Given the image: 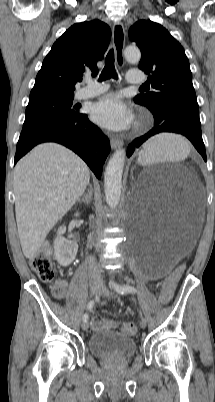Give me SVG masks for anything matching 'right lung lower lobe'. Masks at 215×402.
Masks as SVG:
<instances>
[{
    "instance_id": "right-lung-lower-lobe-1",
    "label": "right lung lower lobe",
    "mask_w": 215,
    "mask_h": 402,
    "mask_svg": "<svg viewBox=\"0 0 215 402\" xmlns=\"http://www.w3.org/2000/svg\"><path fill=\"white\" fill-rule=\"evenodd\" d=\"M57 142L78 154L97 178L101 177L103 163L110 152V142L101 130L92 124L86 114H81L64 124L51 127L17 144L15 163L35 145Z\"/></svg>"
}]
</instances>
